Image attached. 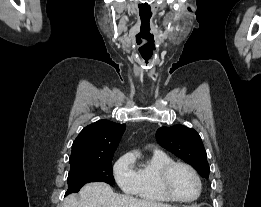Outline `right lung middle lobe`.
<instances>
[{
  "label": "right lung middle lobe",
  "instance_id": "right-lung-middle-lobe-1",
  "mask_svg": "<svg viewBox=\"0 0 261 207\" xmlns=\"http://www.w3.org/2000/svg\"><path fill=\"white\" fill-rule=\"evenodd\" d=\"M112 158L70 164L66 195L78 192L83 185L90 182L101 181L110 185L115 184L112 174Z\"/></svg>",
  "mask_w": 261,
  "mask_h": 207
}]
</instances>
